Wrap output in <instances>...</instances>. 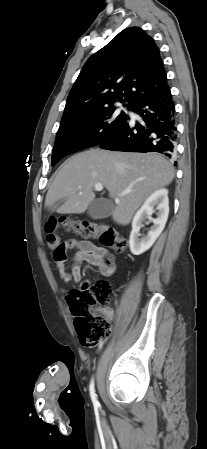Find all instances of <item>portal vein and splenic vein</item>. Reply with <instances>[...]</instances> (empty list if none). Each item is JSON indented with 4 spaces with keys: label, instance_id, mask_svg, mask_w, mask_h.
Instances as JSON below:
<instances>
[{
    "label": "portal vein and splenic vein",
    "instance_id": "1",
    "mask_svg": "<svg viewBox=\"0 0 207 449\" xmlns=\"http://www.w3.org/2000/svg\"><path fill=\"white\" fill-rule=\"evenodd\" d=\"M94 188H95L96 191H102L103 190V185L101 183H96ZM130 192H131V190L124 191L123 193L120 194V196H124V195H126V194H128ZM115 200L117 201V199H115Z\"/></svg>",
    "mask_w": 207,
    "mask_h": 449
}]
</instances>
